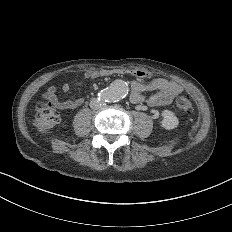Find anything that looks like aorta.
Masks as SVG:
<instances>
[{
    "label": "aorta",
    "mask_w": 232,
    "mask_h": 232,
    "mask_svg": "<svg viewBox=\"0 0 232 232\" xmlns=\"http://www.w3.org/2000/svg\"><path fill=\"white\" fill-rule=\"evenodd\" d=\"M128 91V84L125 81L115 80L101 93V96L106 101L117 102L125 98Z\"/></svg>",
    "instance_id": "obj_1"
}]
</instances>
